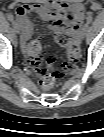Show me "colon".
<instances>
[{"label": "colon", "instance_id": "1", "mask_svg": "<svg viewBox=\"0 0 104 137\" xmlns=\"http://www.w3.org/2000/svg\"><path fill=\"white\" fill-rule=\"evenodd\" d=\"M56 41L59 45L66 49L67 59L64 62V68H69L75 63L79 56V47L72 35L66 30H58ZM28 64L40 77V87L43 90L51 89L56 81L60 78L59 74L53 70L50 57H45L42 52V44L38 40L28 43Z\"/></svg>", "mask_w": 104, "mask_h": 137}]
</instances>
